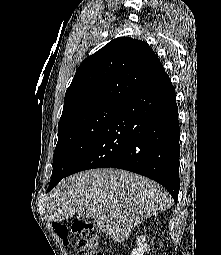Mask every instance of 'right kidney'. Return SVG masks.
I'll return each mask as SVG.
<instances>
[{"instance_id":"right-kidney-1","label":"right kidney","mask_w":221,"mask_h":255,"mask_svg":"<svg viewBox=\"0 0 221 255\" xmlns=\"http://www.w3.org/2000/svg\"><path fill=\"white\" fill-rule=\"evenodd\" d=\"M146 241V235H141L137 237V248H134L131 255H144L147 251L148 244Z\"/></svg>"}]
</instances>
